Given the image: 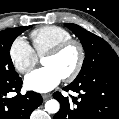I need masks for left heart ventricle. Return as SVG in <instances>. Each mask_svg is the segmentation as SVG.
I'll use <instances>...</instances> for the list:
<instances>
[{
    "label": "left heart ventricle",
    "mask_w": 119,
    "mask_h": 119,
    "mask_svg": "<svg viewBox=\"0 0 119 119\" xmlns=\"http://www.w3.org/2000/svg\"><path fill=\"white\" fill-rule=\"evenodd\" d=\"M78 50L72 46L59 56L45 57L43 66L54 68L62 77L69 74L78 62Z\"/></svg>",
    "instance_id": "left-heart-ventricle-1"
}]
</instances>
